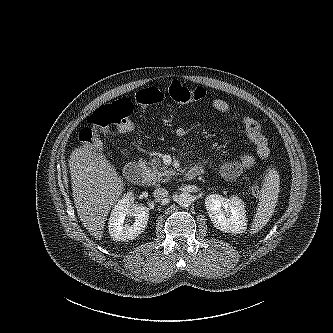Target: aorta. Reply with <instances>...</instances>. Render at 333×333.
I'll return each instance as SVG.
<instances>
[{"label": "aorta", "instance_id": "obj_1", "mask_svg": "<svg viewBox=\"0 0 333 333\" xmlns=\"http://www.w3.org/2000/svg\"><path fill=\"white\" fill-rule=\"evenodd\" d=\"M192 202H193V196L188 192L181 193L177 198V203L181 207H188L192 204Z\"/></svg>", "mask_w": 333, "mask_h": 333}]
</instances>
